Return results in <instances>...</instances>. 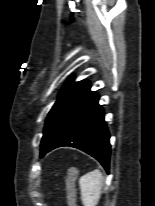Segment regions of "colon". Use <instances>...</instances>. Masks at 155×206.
Instances as JSON below:
<instances>
[{"mask_svg": "<svg viewBox=\"0 0 155 206\" xmlns=\"http://www.w3.org/2000/svg\"><path fill=\"white\" fill-rule=\"evenodd\" d=\"M76 190L73 183H69L67 187V200L69 206H76Z\"/></svg>", "mask_w": 155, "mask_h": 206, "instance_id": "colon-1", "label": "colon"}]
</instances>
